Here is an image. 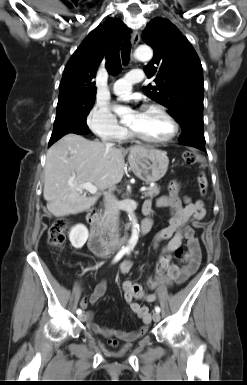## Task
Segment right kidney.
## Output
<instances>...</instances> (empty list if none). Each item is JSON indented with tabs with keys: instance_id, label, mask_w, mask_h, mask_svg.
<instances>
[{
	"instance_id": "ca27d5eb",
	"label": "right kidney",
	"mask_w": 247,
	"mask_h": 385,
	"mask_svg": "<svg viewBox=\"0 0 247 385\" xmlns=\"http://www.w3.org/2000/svg\"><path fill=\"white\" fill-rule=\"evenodd\" d=\"M88 236V229L83 224H78L74 226L69 233L71 245L76 249H80L83 247V245L88 239Z\"/></svg>"
}]
</instances>
